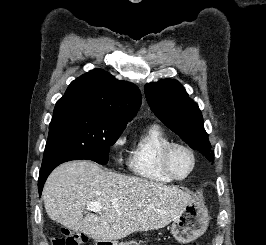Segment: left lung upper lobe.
Here are the masks:
<instances>
[{"mask_svg": "<svg viewBox=\"0 0 266 245\" xmlns=\"http://www.w3.org/2000/svg\"><path fill=\"white\" fill-rule=\"evenodd\" d=\"M147 102L155 115L191 148L213 160L208 134L197 104L175 79H161L144 87Z\"/></svg>", "mask_w": 266, "mask_h": 245, "instance_id": "obj_1", "label": "left lung upper lobe"}]
</instances>
